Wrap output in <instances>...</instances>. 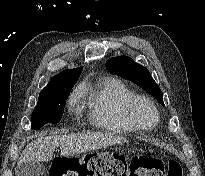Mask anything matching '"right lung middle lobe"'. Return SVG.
<instances>
[{
    "label": "right lung middle lobe",
    "instance_id": "1",
    "mask_svg": "<svg viewBox=\"0 0 205 176\" xmlns=\"http://www.w3.org/2000/svg\"><path fill=\"white\" fill-rule=\"evenodd\" d=\"M71 88L39 96L38 103L32 112V129L38 130L47 123H58L64 112L65 101Z\"/></svg>",
    "mask_w": 205,
    "mask_h": 176
}]
</instances>
